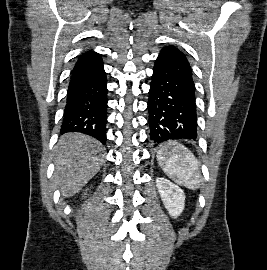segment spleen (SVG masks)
I'll return each instance as SVG.
<instances>
[{
    "instance_id": "3e777b00",
    "label": "spleen",
    "mask_w": 267,
    "mask_h": 270,
    "mask_svg": "<svg viewBox=\"0 0 267 270\" xmlns=\"http://www.w3.org/2000/svg\"><path fill=\"white\" fill-rule=\"evenodd\" d=\"M157 160L173 181L192 190L199 188V162L188 148L177 142H167L160 147Z\"/></svg>"
}]
</instances>
